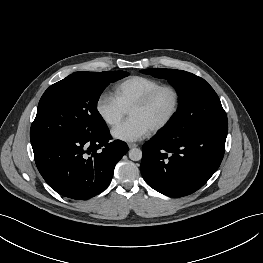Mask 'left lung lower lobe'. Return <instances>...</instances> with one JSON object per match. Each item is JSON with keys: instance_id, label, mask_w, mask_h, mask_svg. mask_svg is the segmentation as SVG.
<instances>
[{"instance_id": "left-lung-lower-lobe-1", "label": "left lung lower lobe", "mask_w": 263, "mask_h": 263, "mask_svg": "<svg viewBox=\"0 0 263 263\" xmlns=\"http://www.w3.org/2000/svg\"><path fill=\"white\" fill-rule=\"evenodd\" d=\"M227 132L228 126L190 133L162 130L143 145L140 168L145 182L172 197L197 191L220 166Z\"/></svg>"}]
</instances>
